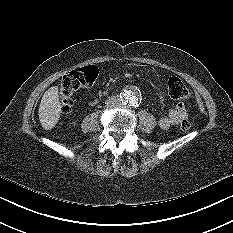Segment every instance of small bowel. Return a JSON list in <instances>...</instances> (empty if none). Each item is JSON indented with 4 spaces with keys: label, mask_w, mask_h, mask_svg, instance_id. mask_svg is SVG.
<instances>
[{
    "label": "small bowel",
    "mask_w": 233,
    "mask_h": 233,
    "mask_svg": "<svg viewBox=\"0 0 233 233\" xmlns=\"http://www.w3.org/2000/svg\"><path fill=\"white\" fill-rule=\"evenodd\" d=\"M94 100L91 101L94 104ZM188 116L186 107L183 103H178L175 107L171 108L168 113L158 119V125L161 129H169L172 126L178 125L181 120L186 119Z\"/></svg>",
    "instance_id": "obj_1"
}]
</instances>
